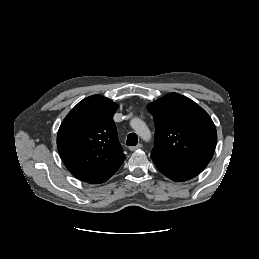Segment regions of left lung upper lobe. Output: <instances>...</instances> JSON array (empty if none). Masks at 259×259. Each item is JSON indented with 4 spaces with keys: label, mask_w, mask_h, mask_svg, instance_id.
Wrapping results in <instances>:
<instances>
[{
    "label": "left lung upper lobe",
    "mask_w": 259,
    "mask_h": 259,
    "mask_svg": "<svg viewBox=\"0 0 259 259\" xmlns=\"http://www.w3.org/2000/svg\"><path fill=\"white\" fill-rule=\"evenodd\" d=\"M147 109L155 122L152 152L176 160L210 162L217 132L204 109L178 93L167 94Z\"/></svg>",
    "instance_id": "1"
}]
</instances>
